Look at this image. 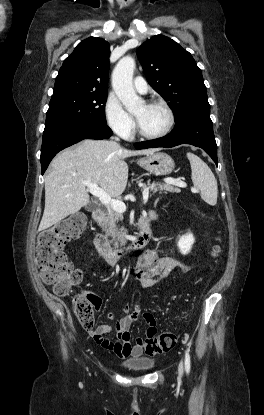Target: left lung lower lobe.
Segmentation results:
<instances>
[{"label":"left lung lower lobe","instance_id":"obj_1","mask_svg":"<svg viewBox=\"0 0 264 415\" xmlns=\"http://www.w3.org/2000/svg\"><path fill=\"white\" fill-rule=\"evenodd\" d=\"M180 144H191L202 148L215 162L217 159V145L213 133V124L210 119V109L194 110L186 113L177 122L174 129L166 136L150 141L135 144L137 149L151 147H174Z\"/></svg>","mask_w":264,"mask_h":415}]
</instances>
